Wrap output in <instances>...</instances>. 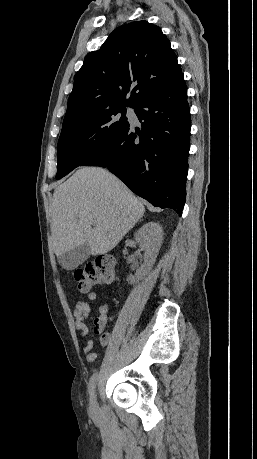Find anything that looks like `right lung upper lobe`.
Wrapping results in <instances>:
<instances>
[{
    "label": "right lung upper lobe",
    "instance_id": "1",
    "mask_svg": "<svg viewBox=\"0 0 257 459\" xmlns=\"http://www.w3.org/2000/svg\"><path fill=\"white\" fill-rule=\"evenodd\" d=\"M180 74L177 57L158 26L145 20L122 25L85 57L74 76L62 129L107 109L135 107Z\"/></svg>",
    "mask_w": 257,
    "mask_h": 459
}]
</instances>
